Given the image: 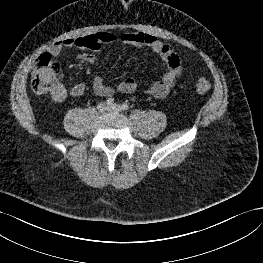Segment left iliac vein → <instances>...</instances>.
Listing matches in <instances>:
<instances>
[{"label": "left iliac vein", "instance_id": "1", "mask_svg": "<svg viewBox=\"0 0 263 263\" xmlns=\"http://www.w3.org/2000/svg\"><path fill=\"white\" fill-rule=\"evenodd\" d=\"M109 110L115 111V112H120L122 111V107L119 104H112L111 106L108 107Z\"/></svg>", "mask_w": 263, "mask_h": 263}]
</instances>
